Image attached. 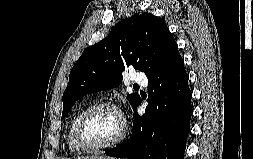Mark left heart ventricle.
I'll return each mask as SVG.
<instances>
[{"label":"left heart ventricle","mask_w":253,"mask_h":159,"mask_svg":"<svg viewBox=\"0 0 253 159\" xmlns=\"http://www.w3.org/2000/svg\"><path fill=\"white\" fill-rule=\"evenodd\" d=\"M121 129L119 115L111 109H101L91 114L83 126V141L100 145L114 139Z\"/></svg>","instance_id":"left-heart-ventricle-1"}]
</instances>
